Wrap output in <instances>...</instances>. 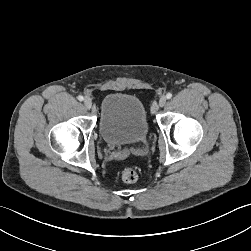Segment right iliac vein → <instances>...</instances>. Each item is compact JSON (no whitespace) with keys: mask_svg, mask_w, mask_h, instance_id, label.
I'll use <instances>...</instances> for the list:
<instances>
[{"mask_svg":"<svg viewBox=\"0 0 251 251\" xmlns=\"http://www.w3.org/2000/svg\"><path fill=\"white\" fill-rule=\"evenodd\" d=\"M84 106L87 108V109H90L92 107V101L90 98L86 97L84 99Z\"/></svg>","mask_w":251,"mask_h":251,"instance_id":"right-iliac-vein-1","label":"right iliac vein"}]
</instances>
